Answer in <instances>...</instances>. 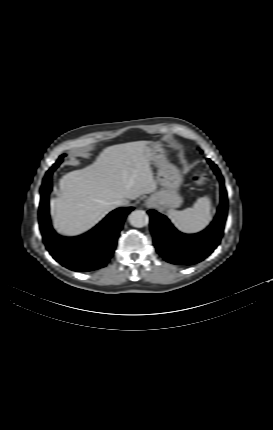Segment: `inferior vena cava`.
<instances>
[{
  "instance_id": "1",
  "label": "inferior vena cava",
  "mask_w": 273,
  "mask_h": 430,
  "mask_svg": "<svg viewBox=\"0 0 273 430\" xmlns=\"http://www.w3.org/2000/svg\"><path fill=\"white\" fill-rule=\"evenodd\" d=\"M129 203V201L127 199H119L116 201V206H125Z\"/></svg>"
}]
</instances>
